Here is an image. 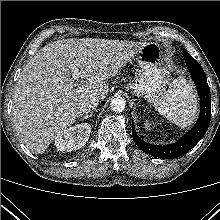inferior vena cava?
<instances>
[{"mask_svg": "<svg viewBox=\"0 0 220 220\" xmlns=\"http://www.w3.org/2000/svg\"><path fill=\"white\" fill-rule=\"evenodd\" d=\"M100 98L97 96H90L80 103V111L83 113L95 110L99 104Z\"/></svg>", "mask_w": 220, "mask_h": 220, "instance_id": "inferior-vena-cava-1", "label": "inferior vena cava"}]
</instances>
